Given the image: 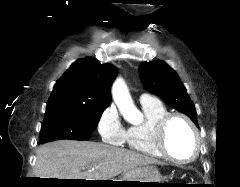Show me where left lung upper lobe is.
<instances>
[{
  "mask_svg": "<svg viewBox=\"0 0 240 187\" xmlns=\"http://www.w3.org/2000/svg\"><path fill=\"white\" fill-rule=\"evenodd\" d=\"M139 73L148 91L162 98L172 108L186 114L198 127L195 105L172 68L162 61L143 62Z\"/></svg>",
  "mask_w": 240,
  "mask_h": 187,
  "instance_id": "5c2ea615",
  "label": "left lung upper lobe"
}]
</instances>
